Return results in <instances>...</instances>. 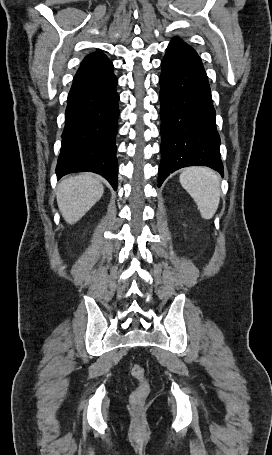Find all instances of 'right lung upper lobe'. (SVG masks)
<instances>
[{"instance_id": "obj_1", "label": "right lung upper lobe", "mask_w": 272, "mask_h": 455, "mask_svg": "<svg viewBox=\"0 0 272 455\" xmlns=\"http://www.w3.org/2000/svg\"><path fill=\"white\" fill-rule=\"evenodd\" d=\"M113 68L112 62L102 52L87 55L82 61L73 82L90 79L102 75Z\"/></svg>"}]
</instances>
